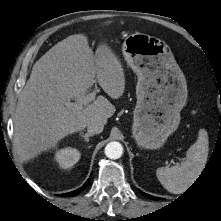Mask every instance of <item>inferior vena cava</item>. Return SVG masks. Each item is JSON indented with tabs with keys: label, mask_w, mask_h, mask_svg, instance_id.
<instances>
[{
	"label": "inferior vena cava",
	"mask_w": 221,
	"mask_h": 221,
	"mask_svg": "<svg viewBox=\"0 0 221 221\" xmlns=\"http://www.w3.org/2000/svg\"><path fill=\"white\" fill-rule=\"evenodd\" d=\"M104 123L99 120H92L87 125V130L91 134H99L103 131Z\"/></svg>",
	"instance_id": "1"
}]
</instances>
